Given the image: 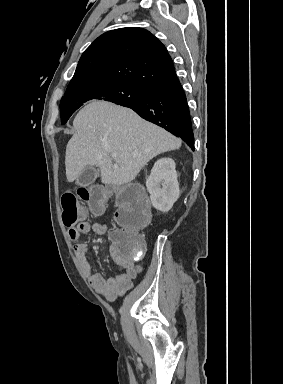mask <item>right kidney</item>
I'll return each mask as SVG.
<instances>
[{
  "label": "right kidney",
  "mask_w": 283,
  "mask_h": 384,
  "mask_svg": "<svg viewBox=\"0 0 283 384\" xmlns=\"http://www.w3.org/2000/svg\"><path fill=\"white\" fill-rule=\"evenodd\" d=\"M175 168L176 164L172 158H161L155 162L151 174L146 180L151 204L160 212H169L179 198V184Z\"/></svg>",
  "instance_id": "obj_1"
}]
</instances>
